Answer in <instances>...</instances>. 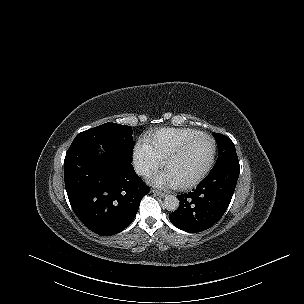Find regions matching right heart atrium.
Instances as JSON below:
<instances>
[{
	"instance_id": "1",
	"label": "right heart atrium",
	"mask_w": 304,
	"mask_h": 304,
	"mask_svg": "<svg viewBox=\"0 0 304 304\" xmlns=\"http://www.w3.org/2000/svg\"><path fill=\"white\" fill-rule=\"evenodd\" d=\"M133 163L136 170L142 175H150L156 172L160 165V159L153 153L147 143L139 142L133 151Z\"/></svg>"
}]
</instances>
